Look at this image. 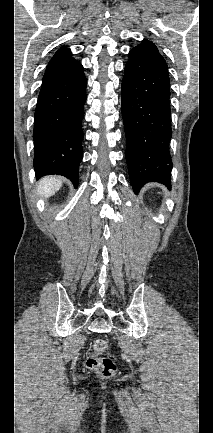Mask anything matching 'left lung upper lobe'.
Listing matches in <instances>:
<instances>
[{
	"mask_svg": "<svg viewBox=\"0 0 213 433\" xmlns=\"http://www.w3.org/2000/svg\"><path fill=\"white\" fill-rule=\"evenodd\" d=\"M136 47L150 49V50L156 52L157 54L161 55V54L158 52V49H157V47L155 46V44L152 43L151 41H148V40H143L142 43H141L140 45L136 46Z\"/></svg>",
	"mask_w": 213,
	"mask_h": 433,
	"instance_id": "left-lung-upper-lobe-1",
	"label": "left lung upper lobe"
}]
</instances>
